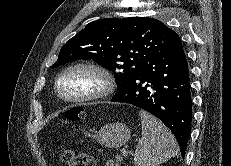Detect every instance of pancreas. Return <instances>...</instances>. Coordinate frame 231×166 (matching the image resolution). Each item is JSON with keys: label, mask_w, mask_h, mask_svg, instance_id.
I'll use <instances>...</instances> for the list:
<instances>
[{"label": "pancreas", "mask_w": 231, "mask_h": 166, "mask_svg": "<svg viewBox=\"0 0 231 166\" xmlns=\"http://www.w3.org/2000/svg\"><path fill=\"white\" fill-rule=\"evenodd\" d=\"M116 162H114L113 160H107L105 166H119V163L122 161V159H115Z\"/></svg>", "instance_id": "obj_1"}]
</instances>
